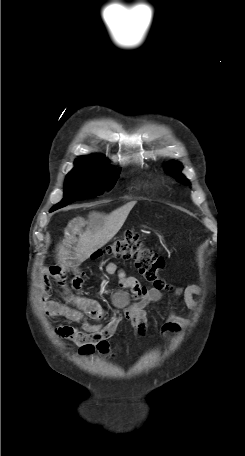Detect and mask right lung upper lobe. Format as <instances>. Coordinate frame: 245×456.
Listing matches in <instances>:
<instances>
[{
    "label": "right lung upper lobe",
    "instance_id": "obj_1",
    "mask_svg": "<svg viewBox=\"0 0 245 456\" xmlns=\"http://www.w3.org/2000/svg\"><path fill=\"white\" fill-rule=\"evenodd\" d=\"M108 161L105 157L101 155H90V156H83L78 158L75 161V165H100V164H107Z\"/></svg>",
    "mask_w": 245,
    "mask_h": 456
}]
</instances>
